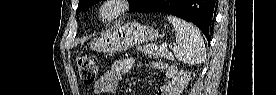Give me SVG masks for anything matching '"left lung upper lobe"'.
Wrapping results in <instances>:
<instances>
[{
	"label": "left lung upper lobe",
	"instance_id": "left-lung-upper-lobe-1",
	"mask_svg": "<svg viewBox=\"0 0 277 95\" xmlns=\"http://www.w3.org/2000/svg\"><path fill=\"white\" fill-rule=\"evenodd\" d=\"M99 0H79V5L78 8L76 10V13L85 11L86 9H88V7L94 5L95 3H97ZM131 5L129 8L130 12H135L137 11L144 3L147 2V0H130Z\"/></svg>",
	"mask_w": 277,
	"mask_h": 95
}]
</instances>
